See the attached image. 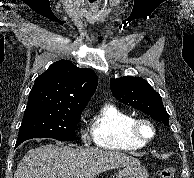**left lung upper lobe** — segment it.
Instances as JSON below:
<instances>
[{
  "mask_svg": "<svg viewBox=\"0 0 194 178\" xmlns=\"http://www.w3.org/2000/svg\"><path fill=\"white\" fill-rule=\"evenodd\" d=\"M110 88L115 98L130 105L151 118L169 126V116L162 98L146 80L141 77H121L110 79Z\"/></svg>",
  "mask_w": 194,
  "mask_h": 178,
  "instance_id": "1",
  "label": "left lung upper lobe"
}]
</instances>
